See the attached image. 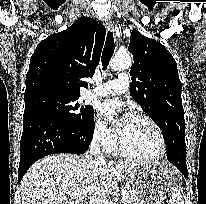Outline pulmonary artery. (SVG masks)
I'll return each mask as SVG.
<instances>
[{"label": "pulmonary artery", "mask_w": 206, "mask_h": 204, "mask_svg": "<svg viewBox=\"0 0 206 204\" xmlns=\"http://www.w3.org/2000/svg\"><path fill=\"white\" fill-rule=\"evenodd\" d=\"M129 83V76L126 73H121L117 79L109 80L93 89L92 94L95 96L121 94L128 89Z\"/></svg>", "instance_id": "pulmonary-artery-1"}]
</instances>
